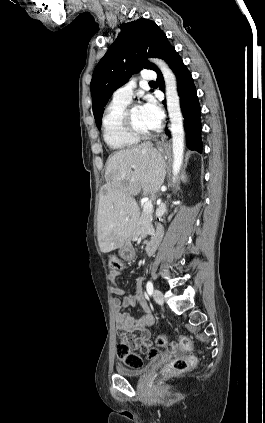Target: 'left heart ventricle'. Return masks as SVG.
Returning a JSON list of instances; mask_svg holds the SVG:
<instances>
[{
	"label": "left heart ventricle",
	"instance_id": "1",
	"mask_svg": "<svg viewBox=\"0 0 265 423\" xmlns=\"http://www.w3.org/2000/svg\"><path fill=\"white\" fill-rule=\"evenodd\" d=\"M131 119L135 127L140 131H151L154 129L143 115L141 107L134 108L131 111Z\"/></svg>",
	"mask_w": 265,
	"mask_h": 423
}]
</instances>
